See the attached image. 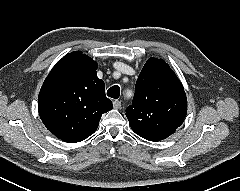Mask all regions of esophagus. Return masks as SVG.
Masks as SVG:
<instances>
[{
  "label": "esophagus",
  "instance_id": "obj_1",
  "mask_svg": "<svg viewBox=\"0 0 240 191\" xmlns=\"http://www.w3.org/2000/svg\"><path fill=\"white\" fill-rule=\"evenodd\" d=\"M113 107H114L115 109H120V108H121V101L115 100V101L113 102Z\"/></svg>",
  "mask_w": 240,
  "mask_h": 191
}]
</instances>
